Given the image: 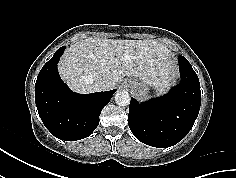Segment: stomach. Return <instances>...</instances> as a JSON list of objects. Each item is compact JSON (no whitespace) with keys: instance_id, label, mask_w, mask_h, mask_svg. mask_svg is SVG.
Returning a JSON list of instances; mask_svg holds the SVG:
<instances>
[{"instance_id":"0dacf381","label":"stomach","mask_w":236,"mask_h":178,"mask_svg":"<svg viewBox=\"0 0 236 178\" xmlns=\"http://www.w3.org/2000/svg\"><path fill=\"white\" fill-rule=\"evenodd\" d=\"M128 85L132 93L138 98H144L148 93V87L144 82L135 79H129Z\"/></svg>"}]
</instances>
